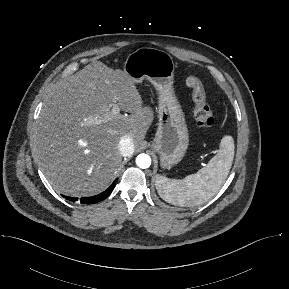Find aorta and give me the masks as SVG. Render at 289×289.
<instances>
[{
    "instance_id": "762f6f07",
    "label": "aorta",
    "mask_w": 289,
    "mask_h": 289,
    "mask_svg": "<svg viewBox=\"0 0 289 289\" xmlns=\"http://www.w3.org/2000/svg\"><path fill=\"white\" fill-rule=\"evenodd\" d=\"M136 164L142 169L149 168L151 165V158L147 154H139L136 158Z\"/></svg>"
}]
</instances>
